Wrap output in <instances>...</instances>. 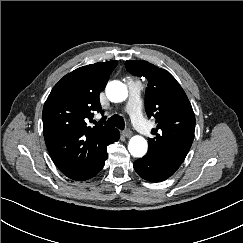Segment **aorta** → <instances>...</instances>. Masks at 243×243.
Returning <instances> with one entry per match:
<instances>
[{
	"mask_svg": "<svg viewBox=\"0 0 243 243\" xmlns=\"http://www.w3.org/2000/svg\"><path fill=\"white\" fill-rule=\"evenodd\" d=\"M106 96L111 102H122L128 97V90L125 84L120 81H111L106 86ZM148 148L144 137L135 135L128 144V150L134 157H142L146 154Z\"/></svg>",
	"mask_w": 243,
	"mask_h": 243,
	"instance_id": "762f6f07",
	"label": "aorta"
}]
</instances>
